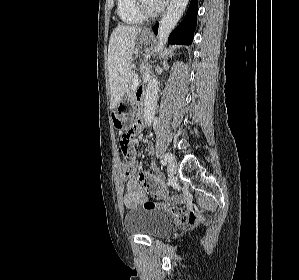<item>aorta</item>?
I'll return each instance as SVG.
<instances>
[{"label":"aorta","instance_id":"762f6f07","mask_svg":"<svg viewBox=\"0 0 299 280\" xmlns=\"http://www.w3.org/2000/svg\"><path fill=\"white\" fill-rule=\"evenodd\" d=\"M189 0H171L166 13L162 17L158 28V44L155 51L161 53L167 38L183 15ZM158 98V81L152 76L148 81L145 100H144V119L145 123L151 125Z\"/></svg>","mask_w":299,"mask_h":280}]
</instances>
